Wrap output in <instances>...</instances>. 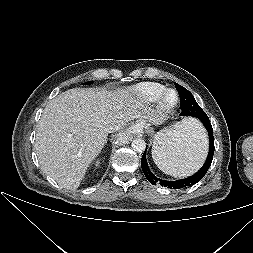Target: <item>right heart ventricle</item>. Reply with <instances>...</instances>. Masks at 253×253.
Returning <instances> with one entry per match:
<instances>
[{"label":"right heart ventricle","instance_id":"obj_1","mask_svg":"<svg viewBox=\"0 0 253 253\" xmlns=\"http://www.w3.org/2000/svg\"><path fill=\"white\" fill-rule=\"evenodd\" d=\"M166 89L162 84L155 82L140 83L129 89V92L134 95L142 103H151L158 100L159 96Z\"/></svg>","mask_w":253,"mask_h":253}]
</instances>
